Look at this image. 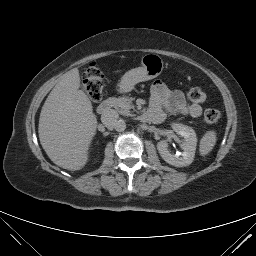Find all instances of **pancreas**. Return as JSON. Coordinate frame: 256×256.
<instances>
[{"mask_svg": "<svg viewBox=\"0 0 256 256\" xmlns=\"http://www.w3.org/2000/svg\"><path fill=\"white\" fill-rule=\"evenodd\" d=\"M112 106L122 115L130 116L131 109H134L131 99L127 97L111 98Z\"/></svg>", "mask_w": 256, "mask_h": 256, "instance_id": "obj_1", "label": "pancreas"}]
</instances>
